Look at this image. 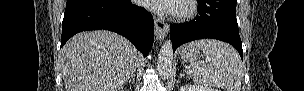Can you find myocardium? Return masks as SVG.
I'll return each instance as SVG.
<instances>
[{"instance_id":"f54148a6","label":"myocardium","mask_w":304,"mask_h":91,"mask_svg":"<svg viewBox=\"0 0 304 91\" xmlns=\"http://www.w3.org/2000/svg\"><path fill=\"white\" fill-rule=\"evenodd\" d=\"M195 1L192 0H183L178 4L177 10L174 12L177 19H186L191 17L195 11L196 6Z\"/></svg>"}]
</instances>
